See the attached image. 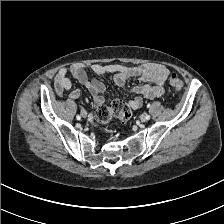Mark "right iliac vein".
<instances>
[{"label":"right iliac vein","instance_id":"1","mask_svg":"<svg viewBox=\"0 0 224 224\" xmlns=\"http://www.w3.org/2000/svg\"><path fill=\"white\" fill-rule=\"evenodd\" d=\"M81 114H82V117H84V118L87 116V112L85 110H82Z\"/></svg>","mask_w":224,"mask_h":224}]
</instances>
